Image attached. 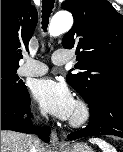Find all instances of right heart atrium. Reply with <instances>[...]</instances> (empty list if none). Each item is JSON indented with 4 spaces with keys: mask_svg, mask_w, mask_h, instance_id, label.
Here are the masks:
<instances>
[{
    "mask_svg": "<svg viewBox=\"0 0 123 152\" xmlns=\"http://www.w3.org/2000/svg\"><path fill=\"white\" fill-rule=\"evenodd\" d=\"M44 115V112L42 110H38L36 113L37 117H42Z\"/></svg>",
    "mask_w": 123,
    "mask_h": 152,
    "instance_id": "d8ad5b80",
    "label": "right heart atrium"
}]
</instances>
